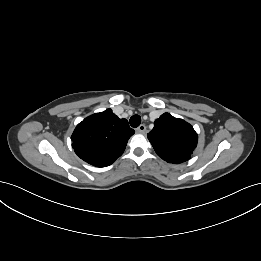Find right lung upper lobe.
I'll use <instances>...</instances> for the list:
<instances>
[{
  "instance_id": "1",
  "label": "right lung upper lobe",
  "mask_w": 261,
  "mask_h": 261,
  "mask_svg": "<svg viewBox=\"0 0 261 261\" xmlns=\"http://www.w3.org/2000/svg\"><path fill=\"white\" fill-rule=\"evenodd\" d=\"M134 133L126 119H120L111 109H106L77 125L71 137L72 147L85 162L106 167L123 154Z\"/></svg>"
}]
</instances>
